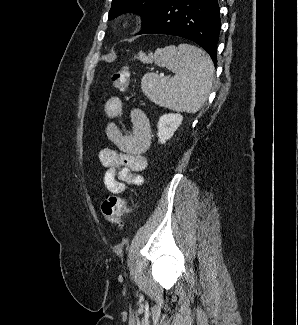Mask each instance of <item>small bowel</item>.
Returning <instances> with one entry per match:
<instances>
[{
    "instance_id": "obj_1",
    "label": "small bowel",
    "mask_w": 298,
    "mask_h": 325,
    "mask_svg": "<svg viewBox=\"0 0 298 325\" xmlns=\"http://www.w3.org/2000/svg\"><path fill=\"white\" fill-rule=\"evenodd\" d=\"M123 102L119 97L109 98L104 112L110 122L106 127L107 138L117 149L103 148L99 153L101 164L106 167L103 175L104 188L113 194L123 193L127 185L140 186L144 183L141 172L147 167L145 153L152 140V132L146 114L133 109L130 117L132 130L125 131L113 120L121 115Z\"/></svg>"
}]
</instances>
